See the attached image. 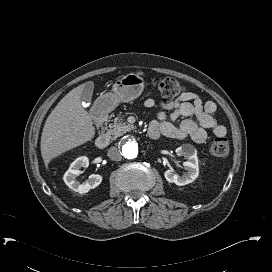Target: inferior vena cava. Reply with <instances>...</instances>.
<instances>
[{
  "label": "inferior vena cava",
  "instance_id": "1",
  "mask_svg": "<svg viewBox=\"0 0 272 272\" xmlns=\"http://www.w3.org/2000/svg\"><path fill=\"white\" fill-rule=\"evenodd\" d=\"M108 157L113 161H120L122 159L121 151L117 147H110Z\"/></svg>",
  "mask_w": 272,
  "mask_h": 272
}]
</instances>
